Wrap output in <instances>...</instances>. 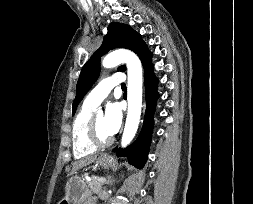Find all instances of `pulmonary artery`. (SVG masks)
Here are the masks:
<instances>
[{
	"instance_id": "1",
	"label": "pulmonary artery",
	"mask_w": 253,
	"mask_h": 204,
	"mask_svg": "<svg viewBox=\"0 0 253 204\" xmlns=\"http://www.w3.org/2000/svg\"><path fill=\"white\" fill-rule=\"evenodd\" d=\"M124 81L125 77L123 73H114L111 76L102 79L86 96L83 104L96 108L107 97L113 87L121 85Z\"/></svg>"
}]
</instances>
